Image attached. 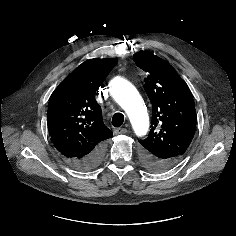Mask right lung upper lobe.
<instances>
[{"instance_id": "1", "label": "right lung upper lobe", "mask_w": 236, "mask_h": 236, "mask_svg": "<svg viewBox=\"0 0 236 236\" xmlns=\"http://www.w3.org/2000/svg\"><path fill=\"white\" fill-rule=\"evenodd\" d=\"M117 60L90 59L79 65L52 93L47 125L55 148L65 158H82L113 136L95 99Z\"/></svg>"}]
</instances>
